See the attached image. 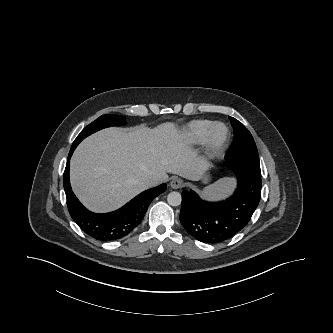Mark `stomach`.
Here are the masks:
<instances>
[{
  "mask_svg": "<svg viewBox=\"0 0 333 333\" xmlns=\"http://www.w3.org/2000/svg\"><path fill=\"white\" fill-rule=\"evenodd\" d=\"M204 180H205V181H207V178H206V176H204Z\"/></svg>",
  "mask_w": 333,
  "mask_h": 333,
  "instance_id": "stomach-1",
  "label": "stomach"
}]
</instances>
